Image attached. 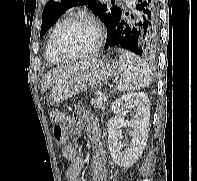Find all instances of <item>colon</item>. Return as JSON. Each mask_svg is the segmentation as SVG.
I'll list each match as a JSON object with an SVG mask.
<instances>
[{"instance_id":"1","label":"colon","mask_w":197,"mask_h":181,"mask_svg":"<svg viewBox=\"0 0 197 181\" xmlns=\"http://www.w3.org/2000/svg\"><path fill=\"white\" fill-rule=\"evenodd\" d=\"M69 118L61 113H51V127L54 136L59 140H64L68 136Z\"/></svg>"}]
</instances>
